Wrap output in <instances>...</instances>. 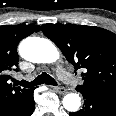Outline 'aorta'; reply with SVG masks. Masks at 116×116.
Here are the masks:
<instances>
[{
    "label": "aorta",
    "mask_w": 116,
    "mask_h": 116,
    "mask_svg": "<svg viewBox=\"0 0 116 116\" xmlns=\"http://www.w3.org/2000/svg\"><path fill=\"white\" fill-rule=\"evenodd\" d=\"M19 53L22 58L35 63H53L59 56L58 48L48 39L40 37H28L19 45ZM63 106L69 112L78 111L81 98L76 93L64 96Z\"/></svg>",
    "instance_id": "1"
}]
</instances>
